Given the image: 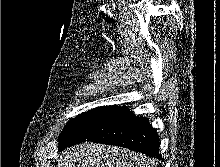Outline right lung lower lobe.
<instances>
[{"label": "right lung lower lobe", "instance_id": "1", "mask_svg": "<svg viewBox=\"0 0 220 167\" xmlns=\"http://www.w3.org/2000/svg\"><path fill=\"white\" fill-rule=\"evenodd\" d=\"M84 141L116 145L164 160L159 154V136L145 117L127 107L112 106L108 115Z\"/></svg>", "mask_w": 220, "mask_h": 167}]
</instances>
